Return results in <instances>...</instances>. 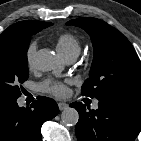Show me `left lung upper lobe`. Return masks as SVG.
<instances>
[{
    "label": "left lung upper lobe",
    "mask_w": 141,
    "mask_h": 141,
    "mask_svg": "<svg viewBox=\"0 0 141 141\" xmlns=\"http://www.w3.org/2000/svg\"><path fill=\"white\" fill-rule=\"evenodd\" d=\"M66 24L84 29L93 43L90 77L81 93L97 99L117 97L141 102V61L128 39L106 22L92 17Z\"/></svg>",
    "instance_id": "left-lung-upper-lobe-1"
}]
</instances>
